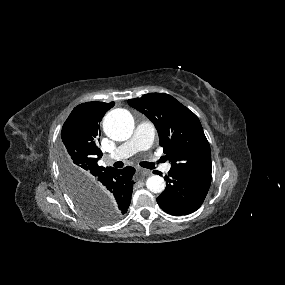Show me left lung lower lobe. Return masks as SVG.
Here are the masks:
<instances>
[{
	"label": "left lung lower lobe",
	"instance_id": "0a47b994",
	"mask_svg": "<svg viewBox=\"0 0 285 285\" xmlns=\"http://www.w3.org/2000/svg\"><path fill=\"white\" fill-rule=\"evenodd\" d=\"M153 173L161 175V172ZM166 188L157 198L160 208L172 215H186L203 203L211 180L189 177L170 170L165 177Z\"/></svg>",
	"mask_w": 285,
	"mask_h": 285
}]
</instances>
